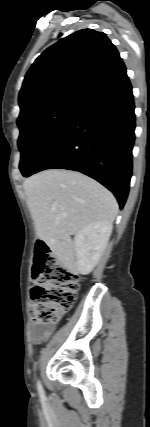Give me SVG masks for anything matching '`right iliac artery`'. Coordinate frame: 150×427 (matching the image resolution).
<instances>
[{"instance_id": "82829eb1", "label": "right iliac artery", "mask_w": 150, "mask_h": 427, "mask_svg": "<svg viewBox=\"0 0 150 427\" xmlns=\"http://www.w3.org/2000/svg\"><path fill=\"white\" fill-rule=\"evenodd\" d=\"M37 388H38V392H39L40 397L43 398L44 397V390H43V387H42L40 381L37 382Z\"/></svg>"}]
</instances>
